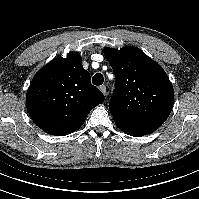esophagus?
I'll list each match as a JSON object with an SVG mask.
<instances>
[{"instance_id":"34e87169","label":"esophagus","mask_w":199,"mask_h":199,"mask_svg":"<svg viewBox=\"0 0 199 199\" xmlns=\"http://www.w3.org/2000/svg\"><path fill=\"white\" fill-rule=\"evenodd\" d=\"M99 89L104 95H106L107 90H106V86L105 85L100 86Z\"/></svg>"}]
</instances>
